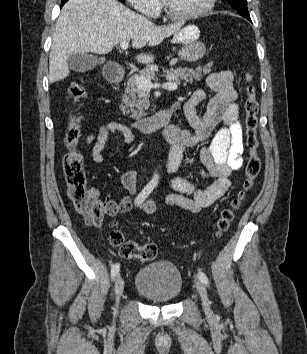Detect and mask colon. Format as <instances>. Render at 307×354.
<instances>
[{
    "instance_id": "1",
    "label": "colon",
    "mask_w": 307,
    "mask_h": 354,
    "mask_svg": "<svg viewBox=\"0 0 307 354\" xmlns=\"http://www.w3.org/2000/svg\"><path fill=\"white\" fill-rule=\"evenodd\" d=\"M86 96L87 92L82 82L80 80L73 81L68 90L70 104L74 106L85 99ZM244 109L246 143L248 147V158L244 169L245 178L241 190L231 201L230 206L221 212L216 226L218 236L228 231L236 211L241 207L248 192L252 189L261 168L257 139L259 104L256 88L251 83L247 87V98ZM79 138V118L71 116L65 135V144L68 151L62 160L64 177L67 182L70 199L76 211L82 214L89 224L99 226L108 214V206L95 199L86 187L84 161L77 148ZM109 242L112 247L118 250L119 255L125 259H137L146 262L155 259L157 256V247L154 244H138L133 240L125 238L119 230H113L110 233Z\"/></svg>"
}]
</instances>
